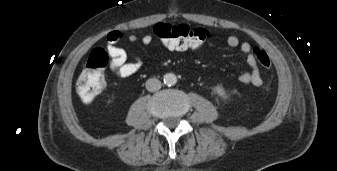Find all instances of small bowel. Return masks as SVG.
Here are the masks:
<instances>
[{"instance_id": "c3829d8e", "label": "small bowel", "mask_w": 337, "mask_h": 171, "mask_svg": "<svg viewBox=\"0 0 337 171\" xmlns=\"http://www.w3.org/2000/svg\"><path fill=\"white\" fill-rule=\"evenodd\" d=\"M122 39H126L130 43L140 41L143 45L150 46L153 43V37L146 34L139 38L135 34L124 35L119 31H113L107 35V52L110 58L109 66L111 71L119 78H129L140 71L142 63L138 59L128 61L127 51L116 45ZM227 44L232 48L239 47L240 51L246 56V63L250 70L243 72L239 76V81L256 87L261 86L263 81L257 67L256 58L252 53V46L247 42H240L236 36H229ZM164 46L166 48V45Z\"/></svg>"}]
</instances>
